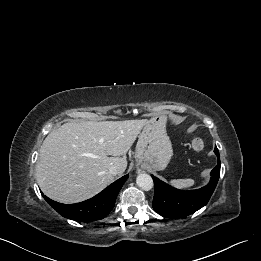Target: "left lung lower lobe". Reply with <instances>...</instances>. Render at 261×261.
I'll list each match as a JSON object with an SVG mask.
<instances>
[{
  "mask_svg": "<svg viewBox=\"0 0 261 261\" xmlns=\"http://www.w3.org/2000/svg\"><path fill=\"white\" fill-rule=\"evenodd\" d=\"M214 152L218 158L217 165L211 171L210 182L200 189L178 190L152 175L155 187L152 205L158 214L165 218H181L196 212L208 203L220 176V159L217 147Z\"/></svg>",
  "mask_w": 261,
  "mask_h": 261,
  "instance_id": "left-lung-lower-lobe-1",
  "label": "left lung lower lobe"
}]
</instances>
